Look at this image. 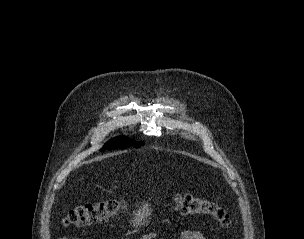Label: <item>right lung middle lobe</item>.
Instances as JSON below:
<instances>
[{"mask_svg": "<svg viewBox=\"0 0 304 239\" xmlns=\"http://www.w3.org/2000/svg\"><path fill=\"white\" fill-rule=\"evenodd\" d=\"M144 144L143 142H133L130 138L122 136L108 141L100 151L122 149L130 146L138 148Z\"/></svg>", "mask_w": 304, "mask_h": 239, "instance_id": "1", "label": "right lung middle lobe"}]
</instances>
